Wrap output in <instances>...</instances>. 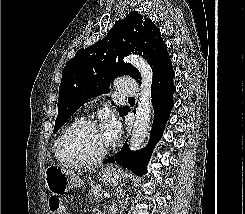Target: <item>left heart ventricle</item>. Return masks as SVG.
Wrapping results in <instances>:
<instances>
[{
  "instance_id": "b2bd125f",
  "label": "left heart ventricle",
  "mask_w": 245,
  "mask_h": 214,
  "mask_svg": "<svg viewBox=\"0 0 245 214\" xmlns=\"http://www.w3.org/2000/svg\"><path fill=\"white\" fill-rule=\"evenodd\" d=\"M110 146L101 127L86 126L79 129L69 141V150L81 157H94Z\"/></svg>"
}]
</instances>
